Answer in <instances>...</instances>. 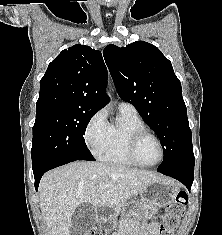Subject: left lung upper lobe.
<instances>
[{
    "mask_svg": "<svg viewBox=\"0 0 222 235\" xmlns=\"http://www.w3.org/2000/svg\"><path fill=\"white\" fill-rule=\"evenodd\" d=\"M103 55L120 98L137 109L160 139L164 158L158 169L194 167L186 105L171 62L144 41L122 48L110 44Z\"/></svg>",
    "mask_w": 222,
    "mask_h": 235,
    "instance_id": "left-lung-upper-lobe-1",
    "label": "left lung upper lobe"
}]
</instances>
